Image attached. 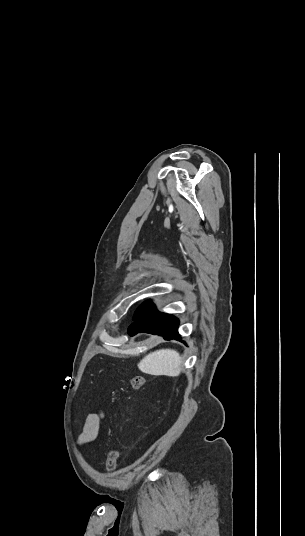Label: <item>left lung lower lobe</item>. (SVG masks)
Wrapping results in <instances>:
<instances>
[{
  "instance_id": "obj_1",
  "label": "left lung lower lobe",
  "mask_w": 305,
  "mask_h": 536,
  "mask_svg": "<svg viewBox=\"0 0 305 536\" xmlns=\"http://www.w3.org/2000/svg\"><path fill=\"white\" fill-rule=\"evenodd\" d=\"M133 320L128 328L130 335L137 333H149L162 335L166 340H181L178 334L177 318L172 315L159 312L150 301H145L136 310Z\"/></svg>"
}]
</instances>
